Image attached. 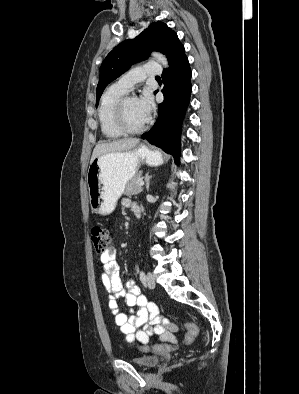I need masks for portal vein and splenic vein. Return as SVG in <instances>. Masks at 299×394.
I'll return each instance as SVG.
<instances>
[{"label":"portal vein and splenic vein","mask_w":299,"mask_h":394,"mask_svg":"<svg viewBox=\"0 0 299 394\" xmlns=\"http://www.w3.org/2000/svg\"><path fill=\"white\" fill-rule=\"evenodd\" d=\"M143 185H144V181L141 180V181L139 182V186H143Z\"/></svg>","instance_id":"obj_1"}]
</instances>
